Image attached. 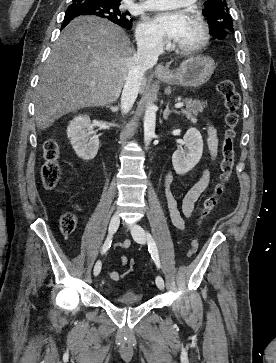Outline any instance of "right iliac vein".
I'll list each match as a JSON object with an SVG mask.
<instances>
[{
  "mask_svg": "<svg viewBox=\"0 0 276 363\" xmlns=\"http://www.w3.org/2000/svg\"><path fill=\"white\" fill-rule=\"evenodd\" d=\"M119 223H120V218L118 214H114L110 220V224H109V233L112 235L114 234L118 227H119ZM101 266V262L97 261L95 266H94V275L97 276L98 274H96V269Z\"/></svg>",
  "mask_w": 276,
  "mask_h": 363,
  "instance_id": "obj_1",
  "label": "right iliac vein"
}]
</instances>
